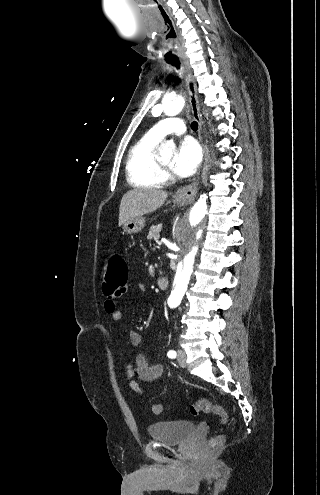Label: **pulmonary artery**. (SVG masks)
<instances>
[{"instance_id":"1","label":"pulmonary artery","mask_w":320,"mask_h":495,"mask_svg":"<svg viewBox=\"0 0 320 495\" xmlns=\"http://www.w3.org/2000/svg\"><path fill=\"white\" fill-rule=\"evenodd\" d=\"M186 131L185 124L182 119L177 117H169L161 120L155 124L149 133L158 138L162 139L169 134H183Z\"/></svg>"}]
</instances>
